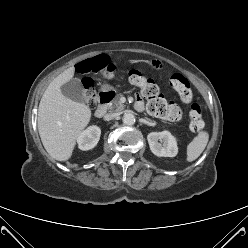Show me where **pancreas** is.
Returning a JSON list of instances; mask_svg holds the SVG:
<instances>
[{
  "label": "pancreas",
  "instance_id": "obj_1",
  "mask_svg": "<svg viewBox=\"0 0 248 248\" xmlns=\"http://www.w3.org/2000/svg\"><path fill=\"white\" fill-rule=\"evenodd\" d=\"M122 95L121 94H118L113 100L112 102L110 103L109 105V109L114 111V112H119V111H122L125 106L120 102V97Z\"/></svg>",
  "mask_w": 248,
  "mask_h": 248
}]
</instances>
